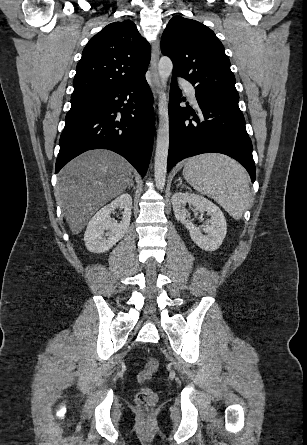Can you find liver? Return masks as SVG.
I'll return each mask as SVG.
<instances>
[{"label":"liver","instance_id":"obj_1","mask_svg":"<svg viewBox=\"0 0 307 445\" xmlns=\"http://www.w3.org/2000/svg\"><path fill=\"white\" fill-rule=\"evenodd\" d=\"M131 170L123 156L103 148L87 150L62 168L55 194L73 235L83 231L100 206L126 190Z\"/></svg>","mask_w":307,"mask_h":445}]
</instances>
